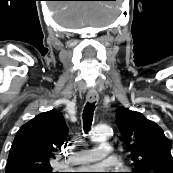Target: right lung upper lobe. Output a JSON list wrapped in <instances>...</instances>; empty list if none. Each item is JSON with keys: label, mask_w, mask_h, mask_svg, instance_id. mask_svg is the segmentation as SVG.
Listing matches in <instances>:
<instances>
[{"label": "right lung upper lobe", "mask_w": 173, "mask_h": 173, "mask_svg": "<svg viewBox=\"0 0 173 173\" xmlns=\"http://www.w3.org/2000/svg\"><path fill=\"white\" fill-rule=\"evenodd\" d=\"M68 132L60 112L41 113L17 132L7 160L6 173H32L51 168L49 161L60 150Z\"/></svg>", "instance_id": "cb5924a9"}]
</instances>
